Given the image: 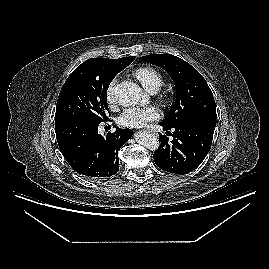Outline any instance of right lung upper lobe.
<instances>
[{
    "label": "right lung upper lobe",
    "mask_w": 269,
    "mask_h": 269,
    "mask_svg": "<svg viewBox=\"0 0 269 269\" xmlns=\"http://www.w3.org/2000/svg\"><path fill=\"white\" fill-rule=\"evenodd\" d=\"M135 56L123 57L120 59L91 58L79 65L76 70L98 76H116L126 68Z\"/></svg>",
    "instance_id": "right-lung-upper-lobe-1"
}]
</instances>
